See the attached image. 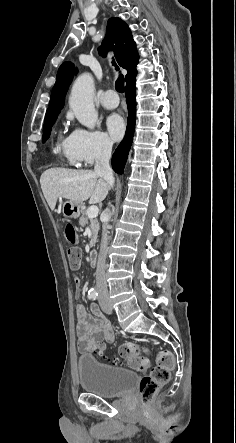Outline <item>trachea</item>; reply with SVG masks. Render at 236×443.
Masks as SVG:
<instances>
[{"mask_svg": "<svg viewBox=\"0 0 236 443\" xmlns=\"http://www.w3.org/2000/svg\"><path fill=\"white\" fill-rule=\"evenodd\" d=\"M112 64L115 66V69L118 71L119 67L117 66V64L115 63L114 60H113ZM115 88L119 93L124 92V76L123 75H120L118 77V79L116 80Z\"/></svg>", "mask_w": 236, "mask_h": 443, "instance_id": "1", "label": "trachea"}]
</instances>
